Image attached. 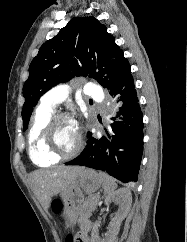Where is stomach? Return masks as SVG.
<instances>
[{"label":"stomach","instance_id":"1","mask_svg":"<svg viewBox=\"0 0 187 242\" xmlns=\"http://www.w3.org/2000/svg\"><path fill=\"white\" fill-rule=\"evenodd\" d=\"M102 184L101 177L93 169L82 168L68 191L61 194L63 203V219L67 228L73 227L81 215L84 194L96 192Z\"/></svg>","mask_w":187,"mask_h":242}]
</instances>
